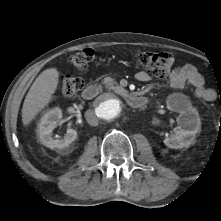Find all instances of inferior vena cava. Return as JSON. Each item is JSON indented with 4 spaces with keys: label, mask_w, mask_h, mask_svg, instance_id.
Masks as SVG:
<instances>
[{
    "label": "inferior vena cava",
    "mask_w": 221,
    "mask_h": 221,
    "mask_svg": "<svg viewBox=\"0 0 221 221\" xmlns=\"http://www.w3.org/2000/svg\"><path fill=\"white\" fill-rule=\"evenodd\" d=\"M85 117L87 122L92 125V126H97L98 125V119L95 116L94 112L91 110L86 111Z\"/></svg>",
    "instance_id": "obj_1"
}]
</instances>
